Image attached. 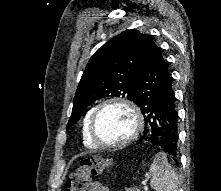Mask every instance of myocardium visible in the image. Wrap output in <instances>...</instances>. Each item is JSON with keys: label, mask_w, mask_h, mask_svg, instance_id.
I'll list each match as a JSON object with an SVG mask.
<instances>
[{"label": "myocardium", "mask_w": 221, "mask_h": 191, "mask_svg": "<svg viewBox=\"0 0 221 191\" xmlns=\"http://www.w3.org/2000/svg\"><path fill=\"white\" fill-rule=\"evenodd\" d=\"M111 105H120L125 107L133 116V129L131 133L122 141L117 143H106L99 139L96 133L97 118L102 109ZM143 128V116L139 107L129 99L123 97H111L100 102L93 110L89 122V134L91 140L99 147L108 149H119L127 146L137 139Z\"/></svg>", "instance_id": "obj_1"}]
</instances>
